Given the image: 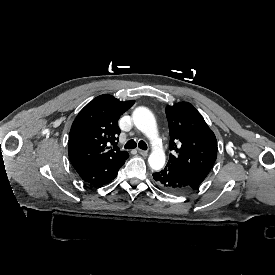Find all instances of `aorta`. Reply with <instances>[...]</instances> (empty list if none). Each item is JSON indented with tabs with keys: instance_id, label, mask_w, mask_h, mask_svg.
<instances>
[{
	"instance_id": "obj_1",
	"label": "aorta",
	"mask_w": 275,
	"mask_h": 275,
	"mask_svg": "<svg viewBox=\"0 0 275 275\" xmlns=\"http://www.w3.org/2000/svg\"><path fill=\"white\" fill-rule=\"evenodd\" d=\"M134 125L145 134L150 140L158 136L157 123L153 113L146 107H137L132 114ZM165 154L160 150H153L148 158L150 167L155 171H160L165 165Z\"/></svg>"
}]
</instances>
